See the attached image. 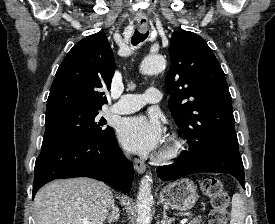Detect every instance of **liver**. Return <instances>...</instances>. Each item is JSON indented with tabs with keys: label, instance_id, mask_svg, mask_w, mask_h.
Masks as SVG:
<instances>
[{
	"label": "liver",
	"instance_id": "liver-1",
	"mask_svg": "<svg viewBox=\"0 0 275 224\" xmlns=\"http://www.w3.org/2000/svg\"><path fill=\"white\" fill-rule=\"evenodd\" d=\"M112 190L89 178L60 179L34 198L37 224H103L113 203Z\"/></svg>",
	"mask_w": 275,
	"mask_h": 224
}]
</instances>
